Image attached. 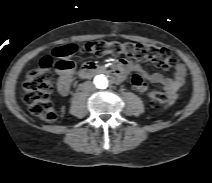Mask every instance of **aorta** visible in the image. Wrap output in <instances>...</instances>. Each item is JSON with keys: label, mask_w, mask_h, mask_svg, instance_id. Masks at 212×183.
Returning a JSON list of instances; mask_svg holds the SVG:
<instances>
[{"label": "aorta", "mask_w": 212, "mask_h": 183, "mask_svg": "<svg viewBox=\"0 0 212 183\" xmlns=\"http://www.w3.org/2000/svg\"><path fill=\"white\" fill-rule=\"evenodd\" d=\"M94 87L99 90H104L109 85L108 76L105 73H98L93 80Z\"/></svg>", "instance_id": "obj_1"}]
</instances>
